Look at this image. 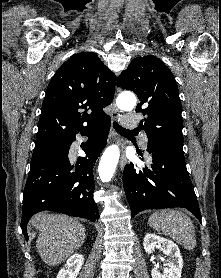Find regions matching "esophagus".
Returning <instances> with one entry per match:
<instances>
[{
  "label": "esophagus",
  "instance_id": "34e87169",
  "mask_svg": "<svg viewBox=\"0 0 221 278\" xmlns=\"http://www.w3.org/2000/svg\"><path fill=\"white\" fill-rule=\"evenodd\" d=\"M119 109L116 107L115 103L113 102L112 104V113H111V116L113 119H117L119 117ZM116 137V135H115ZM127 163V158L125 156V152H124V146L121 145V157H120V168L123 169L124 166L126 165Z\"/></svg>",
  "mask_w": 221,
  "mask_h": 278
}]
</instances>
